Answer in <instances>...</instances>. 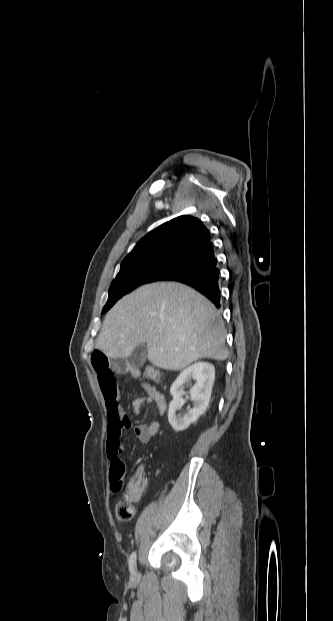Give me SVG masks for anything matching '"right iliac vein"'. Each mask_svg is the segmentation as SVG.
<instances>
[{
    "mask_svg": "<svg viewBox=\"0 0 333 621\" xmlns=\"http://www.w3.org/2000/svg\"><path fill=\"white\" fill-rule=\"evenodd\" d=\"M132 578L133 579H137L138 578V571L134 570V572L132 573Z\"/></svg>",
    "mask_w": 333,
    "mask_h": 621,
    "instance_id": "obj_1",
    "label": "right iliac vein"
}]
</instances>
